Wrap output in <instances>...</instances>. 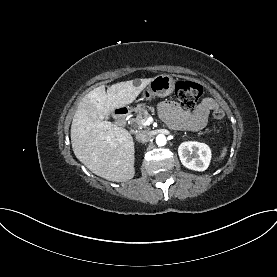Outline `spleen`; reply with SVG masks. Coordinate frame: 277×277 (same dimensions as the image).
<instances>
[{"instance_id": "3e777b00", "label": "spleen", "mask_w": 277, "mask_h": 277, "mask_svg": "<svg viewBox=\"0 0 277 277\" xmlns=\"http://www.w3.org/2000/svg\"><path fill=\"white\" fill-rule=\"evenodd\" d=\"M226 152H227V148L224 147L223 150H222V153H221V159L224 158V156L226 155Z\"/></svg>"}]
</instances>
